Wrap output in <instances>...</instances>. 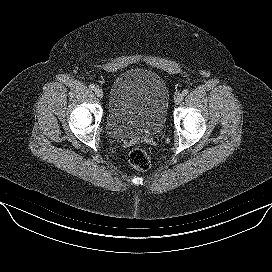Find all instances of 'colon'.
I'll list each match as a JSON object with an SVG mask.
<instances>
[{"instance_id": "5ec220e1", "label": "colon", "mask_w": 272, "mask_h": 272, "mask_svg": "<svg viewBox=\"0 0 272 272\" xmlns=\"http://www.w3.org/2000/svg\"><path fill=\"white\" fill-rule=\"evenodd\" d=\"M129 163L139 171H147L151 166L149 155L141 148H133L128 153Z\"/></svg>"}]
</instances>
